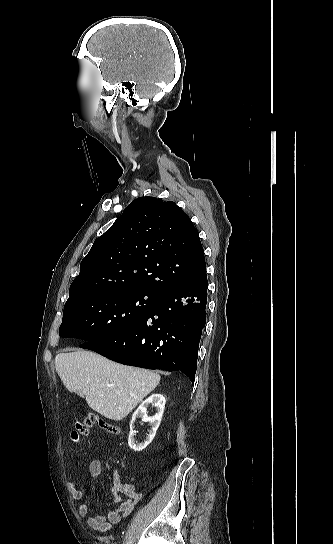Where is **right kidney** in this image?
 <instances>
[{"label": "right kidney", "instance_id": "ca27d5eb", "mask_svg": "<svg viewBox=\"0 0 333 544\" xmlns=\"http://www.w3.org/2000/svg\"><path fill=\"white\" fill-rule=\"evenodd\" d=\"M166 399L162 394H152L149 396L146 400H144L140 406L135 410L132 416V420L130 423V434L128 438V444L131 449L134 451H142L145 449L153 440V438L156 435V431L161 423V419L163 416L164 408H165ZM153 405L157 409V413L153 417L147 416V408ZM136 418H142L144 422H149L151 429L149 431L148 436L146 437V441L142 443H138L134 436L135 431L133 430L134 421Z\"/></svg>", "mask_w": 333, "mask_h": 544}]
</instances>
